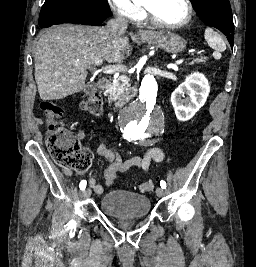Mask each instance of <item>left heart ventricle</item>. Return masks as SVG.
<instances>
[{"instance_id":"obj_1","label":"left heart ventricle","mask_w":256,"mask_h":267,"mask_svg":"<svg viewBox=\"0 0 256 267\" xmlns=\"http://www.w3.org/2000/svg\"><path fill=\"white\" fill-rule=\"evenodd\" d=\"M185 8L174 1H165L152 15L158 26L180 22L185 18Z\"/></svg>"}]
</instances>
